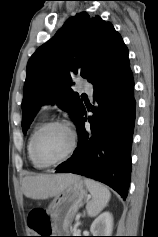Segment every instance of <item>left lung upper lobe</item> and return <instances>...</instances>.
<instances>
[{"mask_svg":"<svg viewBox=\"0 0 158 237\" xmlns=\"http://www.w3.org/2000/svg\"><path fill=\"white\" fill-rule=\"evenodd\" d=\"M128 49L110 22L86 12L69 18L27 63L22 101V129L29 128L39 107L56 102L77 125L84 105L71 89L81 75L93 87L128 60Z\"/></svg>","mask_w":158,"mask_h":237,"instance_id":"obj_1","label":"left lung upper lobe"}]
</instances>
